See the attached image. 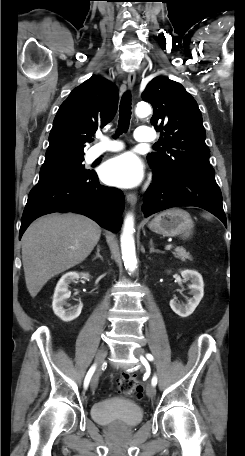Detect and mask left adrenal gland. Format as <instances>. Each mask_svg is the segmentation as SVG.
<instances>
[{
  "label": "left adrenal gland",
  "instance_id": "obj_1",
  "mask_svg": "<svg viewBox=\"0 0 245 456\" xmlns=\"http://www.w3.org/2000/svg\"><path fill=\"white\" fill-rule=\"evenodd\" d=\"M149 249H150V250H149L150 253H154V252H156V253H162L160 250L155 249L154 243H153V240H152V239H150V242H149Z\"/></svg>",
  "mask_w": 245,
  "mask_h": 456
}]
</instances>
